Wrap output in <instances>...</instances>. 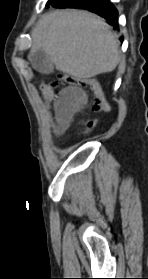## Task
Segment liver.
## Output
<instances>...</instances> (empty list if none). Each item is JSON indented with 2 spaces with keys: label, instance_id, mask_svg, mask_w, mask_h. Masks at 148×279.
<instances>
[{
  "label": "liver",
  "instance_id": "6515ba94",
  "mask_svg": "<svg viewBox=\"0 0 148 279\" xmlns=\"http://www.w3.org/2000/svg\"><path fill=\"white\" fill-rule=\"evenodd\" d=\"M38 50L49 55L57 70L81 79L111 72L120 60L110 26L87 11L56 10L43 15L32 32L30 52Z\"/></svg>",
  "mask_w": 148,
  "mask_h": 279
}]
</instances>
